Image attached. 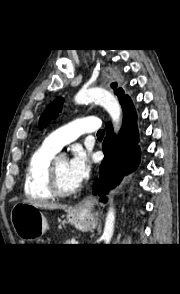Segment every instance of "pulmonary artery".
Wrapping results in <instances>:
<instances>
[{
  "instance_id": "e3ab8cb5",
  "label": "pulmonary artery",
  "mask_w": 180,
  "mask_h": 294,
  "mask_svg": "<svg viewBox=\"0 0 180 294\" xmlns=\"http://www.w3.org/2000/svg\"><path fill=\"white\" fill-rule=\"evenodd\" d=\"M99 126L100 122L96 116L83 117L52 132L45 139L44 144L58 152L64 145L75 141L84 133L97 130Z\"/></svg>"
}]
</instances>
